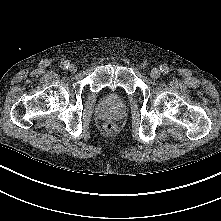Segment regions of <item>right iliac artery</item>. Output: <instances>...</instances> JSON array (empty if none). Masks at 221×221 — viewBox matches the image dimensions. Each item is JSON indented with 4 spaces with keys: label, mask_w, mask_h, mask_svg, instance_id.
Instances as JSON below:
<instances>
[{
    "label": "right iliac artery",
    "mask_w": 221,
    "mask_h": 221,
    "mask_svg": "<svg viewBox=\"0 0 221 221\" xmlns=\"http://www.w3.org/2000/svg\"><path fill=\"white\" fill-rule=\"evenodd\" d=\"M68 67H69V62H68L67 60L61 62V68H62L63 70L68 69Z\"/></svg>",
    "instance_id": "obj_1"
}]
</instances>
